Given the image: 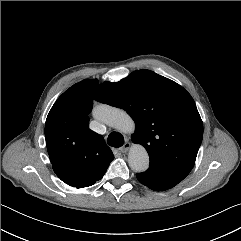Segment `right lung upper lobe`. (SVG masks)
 <instances>
[{
	"instance_id": "1",
	"label": "right lung upper lobe",
	"mask_w": 241,
	"mask_h": 241,
	"mask_svg": "<svg viewBox=\"0 0 241 241\" xmlns=\"http://www.w3.org/2000/svg\"><path fill=\"white\" fill-rule=\"evenodd\" d=\"M98 80H83L54 103L45 124L47 151L53 167L100 176L114 159L103 137L89 129Z\"/></svg>"
}]
</instances>
